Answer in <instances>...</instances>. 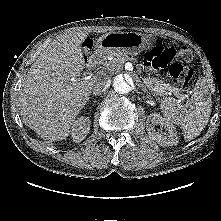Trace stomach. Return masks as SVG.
I'll return each mask as SVG.
<instances>
[{
  "instance_id": "1",
  "label": "stomach",
  "mask_w": 221,
  "mask_h": 221,
  "mask_svg": "<svg viewBox=\"0 0 221 221\" xmlns=\"http://www.w3.org/2000/svg\"><path fill=\"white\" fill-rule=\"evenodd\" d=\"M152 38L138 32H110L97 40V50L101 54H139Z\"/></svg>"
}]
</instances>
